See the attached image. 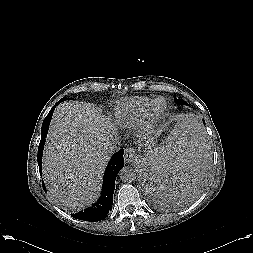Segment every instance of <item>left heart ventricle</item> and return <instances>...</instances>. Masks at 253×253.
<instances>
[{
	"mask_svg": "<svg viewBox=\"0 0 253 253\" xmlns=\"http://www.w3.org/2000/svg\"><path fill=\"white\" fill-rule=\"evenodd\" d=\"M164 108H165L164 101L159 100L154 106V112L160 114L161 112H163Z\"/></svg>",
	"mask_w": 253,
	"mask_h": 253,
	"instance_id": "obj_1",
	"label": "left heart ventricle"
}]
</instances>
